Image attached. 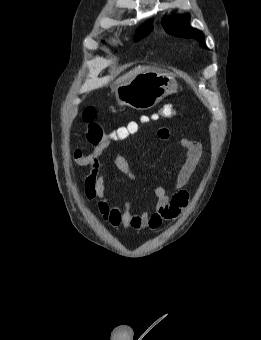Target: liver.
Masks as SVG:
<instances>
[{"label": "liver", "mask_w": 261, "mask_h": 340, "mask_svg": "<svg viewBox=\"0 0 261 340\" xmlns=\"http://www.w3.org/2000/svg\"><path fill=\"white\" fill-rule=\"evenodd\" d=\"M150 70H154L151 67L148 66H138L136 68H134L133 70L129 71L128 73L124 74L123 76L119 77L116 81L115 84H122V83H126L130 80H132L136 75L145 72V71H150Z\"/></svg>", "instance_id": "6515ba94"}]
</instances>
